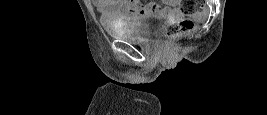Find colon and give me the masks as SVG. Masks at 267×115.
I'll list each match as a JSON object with an SVG mask.
<instances>
[{
  "label": "colon",
  "mask_w": 267,
  "mask_h": 115,
  "mask_svg": "<svg viewBox=\"0 0 267 115\" xmlns=\"http://www.w3.org/2000/svg\"><path fill=\"white\" fill-rule=\"evenodd\" d=\"M181 10L185 14L196 13L201 10L202 3L200 0H182ZM195 29V23L191 19H183L175 24L166 27L161 39L165 42H171L181 36L191 33Z\"/></svg>",
  "instance_id": "5ec220e1"
}]
</instances>
